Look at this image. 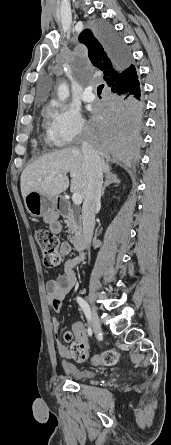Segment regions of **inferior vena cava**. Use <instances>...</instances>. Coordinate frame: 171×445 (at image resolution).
Returning <instances> with one entry per match:
<instances>
[{"label": "inferior vena cava", "mask_w": 171, "mask_h": 445, "mask_svg": "<svg viewBox=\"0 0 171 445\" xmlns=\"http://www.w3.org/2000/svg\"><path fill=\"white\" fill-rule=\"evenodd\" d=\"M82 153L88 171V185L82 207L84 247L87 249L93 236L95 213L100 207L103 172L100 156L86 141L82 142Z\"/></svg>", "instance_id": "1"}]
</instances>
